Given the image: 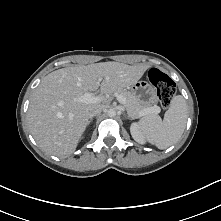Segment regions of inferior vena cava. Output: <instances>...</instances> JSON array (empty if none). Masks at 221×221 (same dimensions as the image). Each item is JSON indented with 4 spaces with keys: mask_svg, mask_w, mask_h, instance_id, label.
Listing matches in <instances>:
<instances>
[{
    "mask_svg": "<svg viewBox=\"0 0 221 221\" xmlns=\"http://www.w3.org/2000/svg\"><path fill=\"white\" fill-rule=\"evenodd\" d=\"M103 110V107H97L95 109H93L90 113H89V118L96 116L98 114H100Z\"/></svg>",
    "mask_w": 221,
    "mask_h": 221,
    "instance_id": "inferior-vena-cava-1",
    "label": "inferior vena cava"
}]
</instances>
